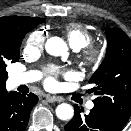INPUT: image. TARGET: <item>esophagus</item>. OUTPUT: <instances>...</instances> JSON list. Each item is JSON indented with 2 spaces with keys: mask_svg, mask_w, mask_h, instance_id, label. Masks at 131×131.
<instances>
[{
  "mask_svg": "<svg viewBox=\"0 0 131 131\" xmlns=\"http://www.w3.org/2000/svg\"><path fill=\"white\" fill-rule=\"evenodd\" d=\"M46 101L49 102V103L61 102V101H63V98L58 97V96L47 95Z\"/></svg>",
  "mask_w": 131,
  "mask_h": 131,
  "instance_id": "1",
  "label": "esophagus"
}]
</instances>
